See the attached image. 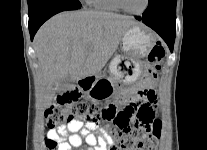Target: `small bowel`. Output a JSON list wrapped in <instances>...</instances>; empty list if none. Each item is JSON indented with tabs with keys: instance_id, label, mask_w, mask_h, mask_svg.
I'll use <instances>...</instances> for the list:
<instances>
[{
	"instance_id": "c3829d8e",
	"label": "small bowel",
	"mask_w": 207,
	"mask_h": 150,
	"mask_svg": "<svg viewBox=\"0 0 207 150\" xmlns=\"http://www.w3.org/2000/svg\"><path fill=\"white\" fill-rule=\"evenodd\" d=\"M145 84L148 87L152 82L146 81ZM123 99L135 98H128L125 95ZM47 138L56 140L59 143V150H109L115 144V139L108 129L102 127L95 133L77 118L71 119L66 125L57 129H50Z\"/></svg>"
}]
</instances>
